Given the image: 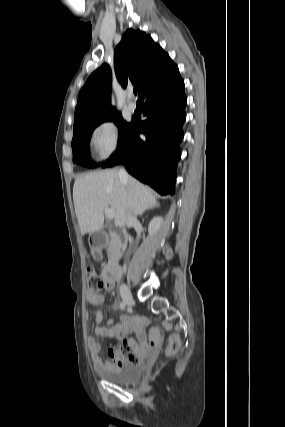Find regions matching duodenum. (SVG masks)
I'll use <instances>...</instances> for the list:
<instances>
[{
	"label": "duodenum",
	"instance_id": "1",
	"mask_svg": "<svg viewBox=\"0 0 285 427\" xmlns=\"http://www.w3.org/2000/svg\"><path fill=\"white\" fill-rule=\"evenodd\" d=\"M121 241L125 242L127 240L125 235H121ZM122 273V268L119 263V259L116 256H112L109 264L104 268L103 275L106 281L112 282L120 277Z\"/></svg>",
	"mask_w": 285,
	"mask_h": 427
}]
</instances>
